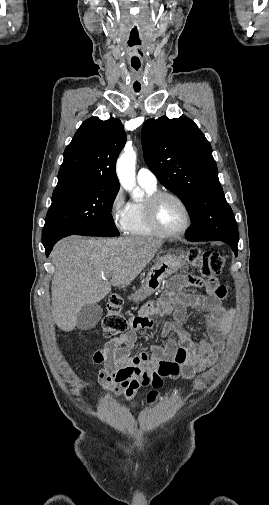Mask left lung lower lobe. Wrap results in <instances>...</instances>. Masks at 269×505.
<instances>
[{
    "label": "left lung lower lobe",
    "instance_id": "1",
    "mask_svg": "<svg viewBox=\"0 0 269 505\" xmlns=\"http://www.w3.org/2000/svg\"><path fill=\"white\" fill-rule=\"evenodd\" d=\"M188 240L189 241H194V240H190V239H188ZM219 241H223V242L229 244L231 246L232 250L234 251L235 255L237 256V253H238L237 252V245H238V243L231 242V241H228V240H219Z\"/></svg>",
    "mask_w": 269,
    "mask_h": 505
}]
</instances>
